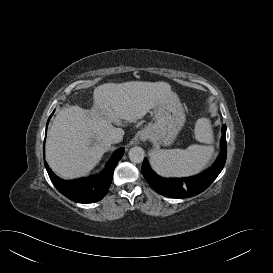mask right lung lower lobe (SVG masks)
Here are the masks:
<instances>
[{
	"label": "right lung lower lobe",
	"mask_w": 273,
	"mask_h": 273,
	"mask_svg": "<svg viewBox=\"0 0 273 273\" xmlns=\"http://www.w3.org/2000/svg\"><path fill=\"white\" fill-rule=\"evenodd\" d=\"M123 154V148L117 150L99 175L72 181L59 178L52 172L46 161H44V164L52 183L64 196L76 203H95L107 194L114 169Z\"/></svg>",
	"instance_id": "obj_1"
}]
</instances>
